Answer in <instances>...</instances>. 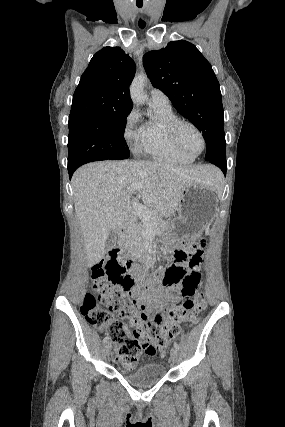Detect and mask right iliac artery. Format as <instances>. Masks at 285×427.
I'll list each match as a JSON object with an SVG mask.
<instances>
[{
  "mask_svg": "<svg viewBox=\"0 0 285 427\" xmlns=\"http://www.w3.org/2000/svg\"><path fill=\"white\" fill-rule=\"evenodd\" d=\"M109 340L108 336L103 339V342L106 343Z\"/></svg>",
  "mask_w": 285,
  "mask_h": 427,
  "instance_id": "1",
  "label": "right iliac artery"
}]
</instances>
